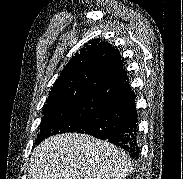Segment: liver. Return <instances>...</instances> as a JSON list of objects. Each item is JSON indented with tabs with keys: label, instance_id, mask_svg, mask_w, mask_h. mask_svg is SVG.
Segmentation results:
<instances>
[{
	"label": "liver",
	"instance_id": "obj_1",
	"mask_svg": "<svg viewBox=\"0 0 183 179\" xmlns=\"http://www.w3.org/2000/svg\"><path fill=\"white\" fill-rule=\"evenodd\" d=\"M133 170L128 154L93 136H51L31 156L28 179H124Z\"/></svg>",
	"mask_w": 183,
	"mask_h": 179
}]
</instances>
